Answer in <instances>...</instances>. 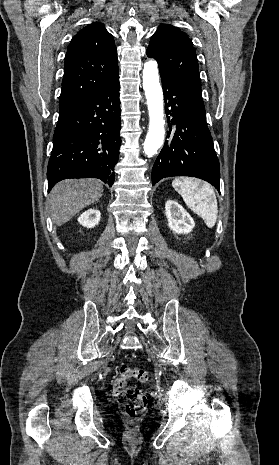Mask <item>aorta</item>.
<instances>
[{
	"label": "aorta",
	"instance_id": "1",
	"mask_svg": "<svg viewBox=\"0 0 279 465\" xmlns=\"http://www.w3.org/2000/svg\"><path fill=\"white\" fill-rule=\"evenodd\" d=\"M143 89L149 111V129L144 142V153L152 157L164 141L163 92L159 83L158 65L154 60L144 64Z\"/></svg>",
	"mask_w": 279,
	"mask_h": 465
}]
</instances>
